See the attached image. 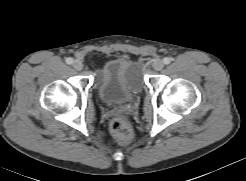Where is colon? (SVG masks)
<instances>
[{"label": "colon", "mask_w": 246, "mask_h": 181, "mask_svg": "<svg viewBox=\"0 0 246 181\" xmlns=\"http://www.w3.org/2000/svg\"><path fill=\"white\" fill-rule=\"evenodd\" d=\"M112 134L119 140L126 141L132 135V128L128 120L122 116L115 117L110 122Z\"/></svg>", "instance_id": "obj_1"}]
</instances>
